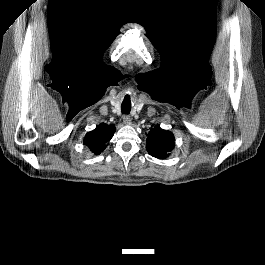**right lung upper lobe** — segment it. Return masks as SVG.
Instances as JSON below:
<instances>
[{"label":"right lung upper lobe","instance_id":"cb5924a9","mask_svg":"<svg viewBox=\"0 0 265 265\" xmlns=\"http://www.w3.org/2000/svg\"><path fill=\"white\" fill-rule=\"evenodd\" d=\"M115 132V126L100 124L91 132H88L84 138L83 144L88 146L95 154H100L105 149V143L109 141Z\"/></svg>","mask_w":265,"mask_h":265}]
</instances>
